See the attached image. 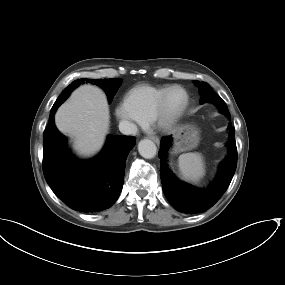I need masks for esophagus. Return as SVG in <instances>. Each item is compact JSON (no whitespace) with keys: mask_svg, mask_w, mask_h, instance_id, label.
Wrapping results in <instances>:
<instances>
[{"mask_svg":"<svg viewBox=\"0 0 285 285\" xmlns=\"http://www.w3.org/2000/svg\"><path fill=\"white\" fill-rule=\"evenodd\" d=\"M150 139H151L152 141H154L156 144H159V143H160V140H159V138H158L157 136H151Z\"/></svg>","mask_w":285,"mask_h":285,"instance_id":"34e87169","label":"esophagus"}]
</instances>
